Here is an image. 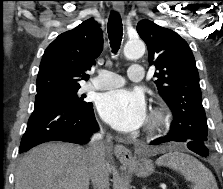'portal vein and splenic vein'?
<instances>
[{"label":"portal vein and splenic vein","mask_w":223,"mask_h":189,"mask_svg":"<svg viewBox=\"0 0 223 189\" xmlns=\"http://www.w3.org/2000/svg\"><path fill=\"white\" fill-rule=\"evenodd\" d=\"M161 187H162L163 189H166V186H165V185H161Z\"/></svg>","instance_id":"1"}]
</instances>
